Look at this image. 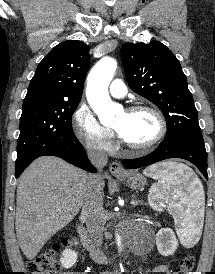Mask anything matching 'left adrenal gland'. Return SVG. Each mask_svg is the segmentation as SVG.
Returning a JSON list of instances; mask_svg holds the SVG:
<instances>
[{
	"label": "left adrenal gland",
	"instance_id": "a2214340",
	"mask_svg": "<svg viewBox=\"0 0 215 274\" xmlns=\"http://www.w3.org/2000/svg\"><path fill=\"white\" fill-rule=\"evenodd\" d=\"M139 203H140V201H138V200L136 199V196H135V195H132L131 205H132L133 207H136Z\"/></svg>",
	"mask_w": 215,
	"mask_h": 274
}]
</instances>
